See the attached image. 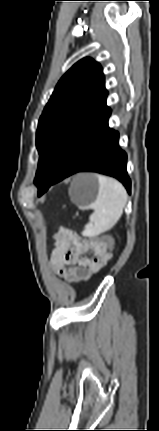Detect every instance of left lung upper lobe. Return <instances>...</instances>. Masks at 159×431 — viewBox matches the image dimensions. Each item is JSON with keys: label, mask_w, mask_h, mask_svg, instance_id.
I'll return each instance as SVG.
<instances>
[{"label": "left lung upper lobe", "mask_w": 159, "mask_h": 431, "mask_svg": "<svg viewBox=\"0 0 159 431\" xmlns=\"http://www.w3.org/2000/svg\"><path fill=\"white\" fill-rule=\"evenodd\" d=\"M104 81L100 64L84 58L58 82L38 122L35 184L39 192L56 176L76 135L109 109Z\"/></svg>", "instance_id": "1"}]
</instances>
